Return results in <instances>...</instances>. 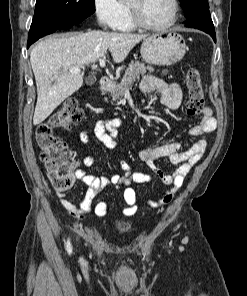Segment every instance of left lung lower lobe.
I'll use <instances>...</instances> for the list:
<instances>
[{"label": "left lung lower lobe", "instance_id": "obj_1", "mask_svg": "<svg viewBox=\"0 0 247 296\" xmlns=\"http://www.w3.org/2000/svg\"><path fill=\"white\" fill-rule=\"evenodd\" d=\"M185 26L196 28L210 34L216 42L214 25L209 10H203L200 13L190 16Z\"/></svg>", "mask_w": 247, "mask_h": 296}]
</instances>
